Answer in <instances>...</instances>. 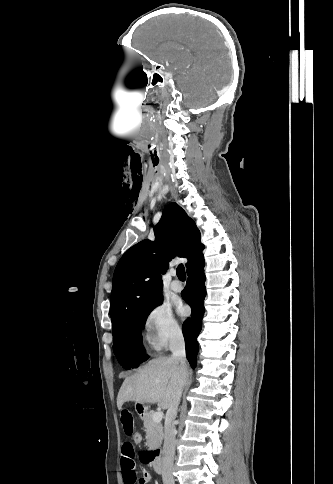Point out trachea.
<instances>
[{
	"mask_svg": "<svg viewBox=\"0 0 333 484\" xmlns=\"http://www.w3.org/2000/svg\"><path fill=\"white\" fill-rule=\"evenodd\" d=\"M176 274H177V276H178V278L180 280H185L186 279V273H185V268H184L183 264H180L177 267Z\"/></svg>",
	"mask_w": 333,
	"mask_h": 484,
	"instance_id": "1",
	"label": "trachea"
}]
</instances>
